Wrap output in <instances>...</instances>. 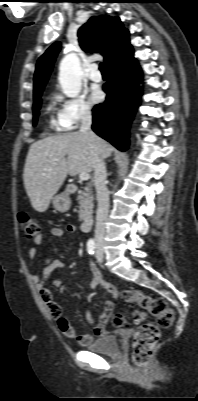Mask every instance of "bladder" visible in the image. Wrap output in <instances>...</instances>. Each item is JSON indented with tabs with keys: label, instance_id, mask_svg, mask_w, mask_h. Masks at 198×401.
I'll list each match as a JSON object with an SVG mask.
<instances>
[{
	"label": "bladder",
	"instance_id": "bladder-1",
	"mask_svg": "<svg viewBox=\"0 0 198 401\" xmlns=\"http://www.w3.org/2000/svg\"><path fill=\"white\" fill-rule=\"evenodd\" d=\"M88 349L96 353L116 355L120 350L119 339L116 334H104L89 344Z\"/></svg>",
	"mask_w": 198,
	"mask_h": 401
}]
</instances>
